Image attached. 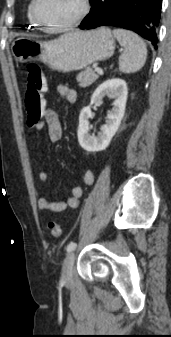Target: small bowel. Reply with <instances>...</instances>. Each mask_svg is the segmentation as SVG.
<instances>
[{
	"label": "small bowel",
	"mask_w": 171,
	"mask_h": 337,
	"mask_svg": "<svg viewBox=\"0 0 171 337\" xmlns=\"http://www.w3.org/2000/svg\"><path fill=\"white\" fill-rule=\"evenodd\" d=\"M56 91L59 96L65 98L69 103L73 104L77 101V93L74 89L66 85H58ZM46 115L44 119L37 123V131L47 129L48 138L52 143H56L62 139L63 130L58 116L53 107L48 104L44 107ZM40 181L46 182L48 180V173L45 170H40L38 173ZM83 182L86 185H90L93 182L94 176L90 169H86L83 174ZM83 194V187L81 185H75L72 188L71 196L67 200H51L46 196H42L38 200V206L42 210H49L54 213H61L69 208H76L79 205L80 198Z\"/></svg>",
	"instance_id": "small-bowel-1"
}]
</instances>
